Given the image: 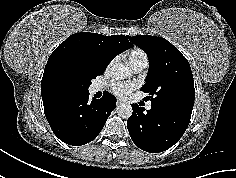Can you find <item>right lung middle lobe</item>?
I'll list each match as a JSON object with an SVG mask.
<instances>
[{
	"label": "right lung middle lobe",
	"mask_w": 236,
	"mask_h": 178,
	"mask_svg": "<svg viewBox=\"0 0 236 178\" xmlns=\"http://www.w3.org/2000/svg\"><path fill=\"white\" fill-rule=\"evenodd\" d=\"M104 71L105 68L98 67L87 59H70L53 72L49 81V91L54 97L87 92L91 80Z\"/></svg>",
	"instance_id": "obj_1"
}]
</instances>
